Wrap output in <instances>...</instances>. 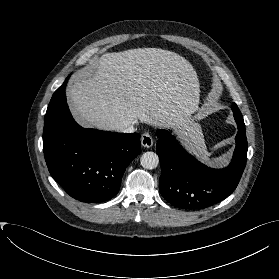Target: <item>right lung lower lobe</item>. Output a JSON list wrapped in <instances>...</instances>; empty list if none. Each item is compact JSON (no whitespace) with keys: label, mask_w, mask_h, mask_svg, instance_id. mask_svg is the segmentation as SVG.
<instances>
[{"label":"right lung lower lobe","mask_w":279,"mask_h":279,"mask_svg":"<svg viewBox=\"0 0 279 279\" xmlns=\"http://www.w3.org/2000/svg\"><path fill=\"white\" fill-rule=\"evenodd\" d=\"M67 82L59 101L45 115L43 150L49 172L76 200L108 201L118 193L126 167L141 152L140 134L79 126L67 106Z\"/></svg>","instance_id":"1"}]
</instances>
